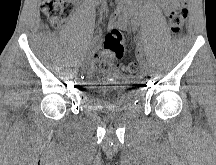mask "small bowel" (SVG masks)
<instances>
[{"mask_svg":"<svg viewBox=\"0 0 216 165\" xmlns=\"http://www.w3.org/2000/svg\"><path fill=\"white\" fill-rule=\"evenodd\" d=\"M157 1L160 4V6L163 8L164 12L167 13V12H169L172 4H174V3L178 4L181 0H157ZM133 14H134V18L137 19L138 10L136 8L133 9ZM128 22L129 21L123 15L122 7H120L117 11L116 18L111 22L110 26L112 28L117 27V26H124V25L128 24ZM133 28H135L134 23H133ZM100 51H101V49H96L93 52L92 58L96 52H100Z\"/></svg>","mask_w":216,"mask_h":165,"instance_id":"1","label":"small bowel"}]
</instances>
